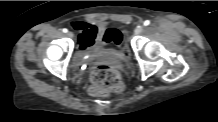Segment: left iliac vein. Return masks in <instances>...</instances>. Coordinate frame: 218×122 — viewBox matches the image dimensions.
<instances>
[{
	"mask_svg": "<svg viewBox=\"0 0 218 122\" xmlns=\"http://www.w3.org/2000/svg\"><path fill=\"white\" fill-rule=\"evenodd\" d=\"M143 30H144V27H143L142 25H140V26H138V27L136 28L135 33H136L137 35H139V34H141V33L143 32Z\"/></svg>",
	"mask_w": 218,
	"mask_h": 122,
	"instance_id": "left-iliac-vein-1",
	"label": "left iliac vein"
}]
</instances>
